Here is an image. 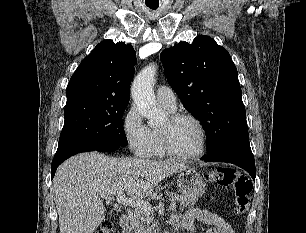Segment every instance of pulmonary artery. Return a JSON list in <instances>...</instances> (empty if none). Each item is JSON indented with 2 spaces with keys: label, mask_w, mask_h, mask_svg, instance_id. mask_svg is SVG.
Returning <instances> with one entry per match:
<instances>
[{
  "label": "pulmonary artery",
  "mask_w": 306,
  "mask_h": 233,
  "mask_svg": "<svg viewBox=\"0 0 306 233\" xmlns=\"http://www.w3.org/2000/svg\"><path fill=\"white\" fill-rule=\"evenodd\" d=\"M156 98L160 105L164 108L174 111L176 108V97L171 88L168 86H160L156 91Z\"/></svg>",
  "instance_id": "1"
}]
</instances>
